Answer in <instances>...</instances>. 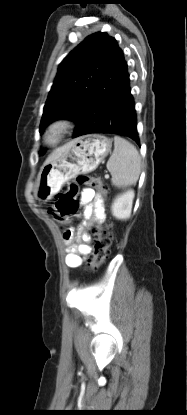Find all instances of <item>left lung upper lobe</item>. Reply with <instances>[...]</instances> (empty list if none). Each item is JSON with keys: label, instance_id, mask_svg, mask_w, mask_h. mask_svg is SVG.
Segmentation results:
<instances>
[{"label": "left lung upper lobe", "instance_id": "left-lung-upper-lobe-1", "mask_svg": "<svg viewBox=\"0 0 187 415\" xmlns=\"http://www.w3.org/2000/svg\"><path fill=\"white\" fill-rule=\"evenodd\" d=\"M116 44L107 33L97 32L64 58L44 106L40 133L54 120L69 119L79 123L87 115L96 113L98 102L92 104L90 97Z\"/></svg>", "mask_w": 187, "mask_h": 415}]
</instances>
